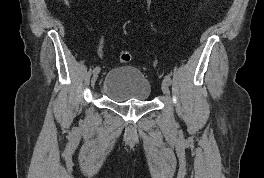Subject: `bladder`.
Here are the masks:
<instances>
[{"label": "bladder", "instance_id": "31cf9c89", "mask_svg": "<svg viewBox=\"0 0 264 178\" xmlns=\"http://www.w3.org/2000/svg\"><path fill=\"white\" fill-rule=\"evenodd\" d=\"M100 91L106 98L118 103L147 101L151 95V84L141 70L117 67L107 72Z\"/></svg>", "mask_w": 264, "mask_h": 178}]
</instances>
